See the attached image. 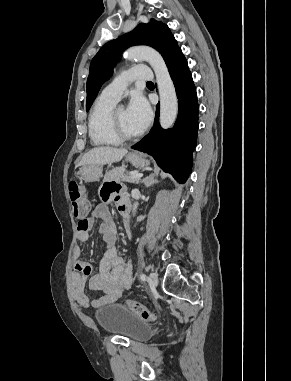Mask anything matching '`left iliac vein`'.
Here are the masks:
<instances>
[{
  "label": "left iliac vein",
  "mask_w": 291,
  "mask_h": 381,
  "mask_svg": "<svg viewBox=\"0 0 291 381\" xmlns=\"http://www.w3.org/2000/svg\"><path fill=\"white\" fill-rule=\"evenodd\" d=\"M149 282H150V285L153 287V288H156L157 285H158V276L156 273L154 272H151L150 275H149Z\"/></svg>",
  "instance_id": "4c4485c4"
}]
</instances>
